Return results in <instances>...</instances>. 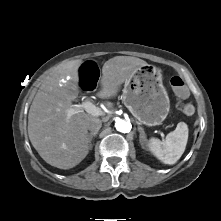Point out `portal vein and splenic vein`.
<instances>
[{"label": "portal vein and splenic vein", "mask_w": 221, "mask_h": 221, "mask_svg": "<svg viewBox=\"0 0 221 221\" xmlns=\"http://www.w3.org/2000/svg\"><path fill=\"white\" fill-rule=\"evenodd\" d=\"M85 110L87 113L92 116H101L103 114L102 110L99 107H96L92 102L85 101L80 105H74L69 111L68 116H72L79 112H83Z\"/></svg>", "instance_id": "1"}]
</instances>
